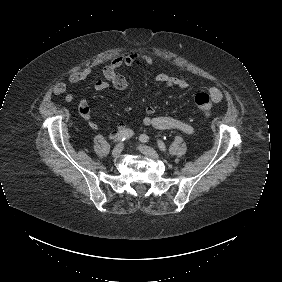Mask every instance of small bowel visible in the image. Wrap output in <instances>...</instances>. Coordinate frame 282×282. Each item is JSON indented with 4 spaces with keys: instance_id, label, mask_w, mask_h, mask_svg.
I'll list each match as a JSON object with an SVG mask.
<instances>
[{
    "instance_id": "small-bowel-1",
    "label": "small bowel",
    "mask_w": 282,
    "mask_h": 282,
    "mask_svg": "<svg viewBox=\"0 0 282 282\" xmlns=\"http://www.w3.org/2000/svg\"><path fill=\"white\" fill-rule=\"evenodd\" d=\"M155 67V62L151 57L142 52L130 53L127 55L116 56L109 65L103 69L104 79L98 80L94 84V91L99 93L110 86L117 89H124L127 87L126 79L120 74V69L122 67ZM92 67L88 66L82 70L76 71L67 79V82L56 83L52 92L54 95H64V100L67 103L74 101V96L71 93H67L69 85H74L82 82L88 78L92 73ZM155 82L166 87H177L180 89H187L189 83L186 79L172 76L166 73H159L155 76ZM209 95L214 103H219L222 99V92L217 87H212L209 89ZM78 111L81 117L86 120L92 129H98L99 125L92 119L91 110L88 102L86 100H81L78 104ZM143 124L146 127L159 129V130H178L187 135H192L195 132V128L190 123L175 118L172 116H158L155 115V109L153 107H148L146 109V115L143 118ZM126 125L121 123L117 129L113 130L110 134L111 138L117 137L123 130H125Z\"/></svg>"
}]
</instances>
